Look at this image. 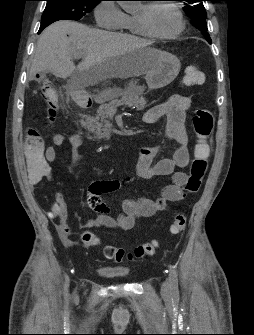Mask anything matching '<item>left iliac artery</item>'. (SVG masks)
Segmentation results:
<instances>
[{"mask_svg":"<svg viewBox=\"0 0 254 335\" xmlns=\"http://www.w3.org/2000/svg\"><path fill=\"white\" fill-rule=\"evenodd\" d=\"M169 279L171 285V293L173 297H179V290H178V274L175 266H169Z\"/></svg>","mask_w":254,"mask_h":335,"instance_id":"obj_1","label":"left iliac artery"}]
</instances>
